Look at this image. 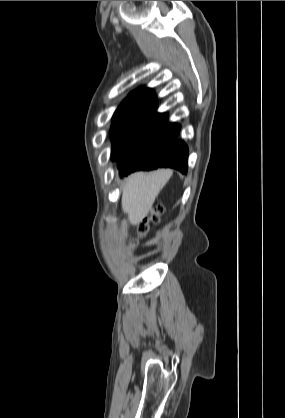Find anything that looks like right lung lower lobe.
Returning <instances> with one entry per match:
<instances>
[{"mask_svg": "<svg viewBox=\"0 0 285 418\" xmlns=\"http://www.w3.org/2000/svg\"><path fill=\"white\" fill-rule=\"evenodd\" d=\"M178 124L164 123L126 154L113 159L118 161L122 175L137 170L169 167L187 172V145L177 139Z\"/></svg>", "mask_w": 285, "mask_h": 418, "instance_id": "obj_1", "label": "right lung lower lobe"}]
</instances>
